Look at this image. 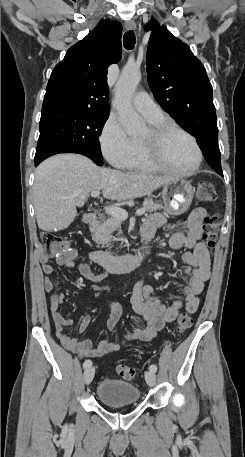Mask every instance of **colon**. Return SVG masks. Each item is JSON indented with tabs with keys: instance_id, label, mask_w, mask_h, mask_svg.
Wrapping results in <instances>:
<instances>
[{
	"instance_id": "1",
	"label": "colon",
	"mask_w": 245,
	"mask_h": 457,
	"mask_svg": "<svg viewBox=\"0 0 245 457\" xmlns=\"http://www.w3.org/2000/svg\"><path fill=\"white\" fill-rule=\"evenodd\" d=\"M215 185L211 182H201L197 186V197L204 202H212L216 199ZM220 227V217L212 214L204 221V240L209 249H212L218 237ZM41 241L48 256L60 254L69 255L73 249L70 248L68 241L53 232H43ZM192 325V318L187 313H181L176 322V331L184 333ZM118 374L125 380H131L136 376V369L130 365L120 364L117 366Z\"/></svg>"
}]
</instances>
